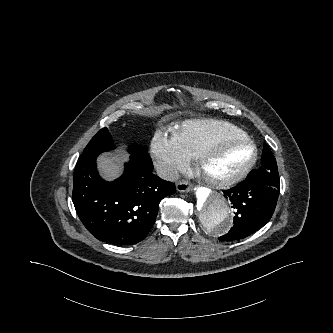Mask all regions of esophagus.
<instances>
[{
  "mask_svg": "<svg viewBox=\"0 0 333 333\" xmlns=\"http://www.w3.org/2000/svg\"><path fill=\"white\" fill-rule=\"evenodd\" d=\"M176 188H177V191L182 192V193L190 191V188L186 182H178L176 184Z\"/></svg>",
  "mask_w": 333,
  "mask_h": 333,
  "instance_id": "esophagus-1",
  "label": "esophagus"
}]
</instances>
